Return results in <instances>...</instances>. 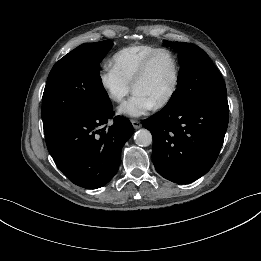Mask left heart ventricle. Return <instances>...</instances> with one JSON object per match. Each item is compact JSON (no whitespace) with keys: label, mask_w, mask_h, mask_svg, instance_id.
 Masks as SVG:
<instances>
[{"label":"left heart ventricle","mask_w":261,"mask_h":261,"mask_svg":"<svg viewBox=\"0 0 261 261\" xmlns=\"http://www.w3.org/2000/svg\"><path fill=\"white\" fill-rule=\"evenodd\" d=\"M173 77L174 65L171 57L166 53H160L153 59L146 77L133 90L144 94L157 104L170 90Z\"/></svg>","instance_id":"obj_1"}]
</instances>
